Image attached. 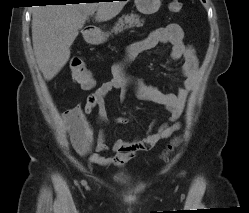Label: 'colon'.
Returning a JSON list of instances; mask_svg holds the SVG:
<instances>
[{
	"label": "colon",
	"instance_id": "5ec220e1",
	"mask_svg": "<svg viewBox=\"0 0 249 213\" xmlns=\"http://www.w3.org/2000/svg\"><path fill=\"white\" fill-rule=\"evenodd\" d=\"M169 8L173 12H180L182 10V3L179 0H170ZM70 72L71 77L77 85L81 86L84 89L91 88L94 85V79L92 78L91 74L87 70L83 60L79 57H73L70 60ZM71 135L77 137V132L75 130L70 131ZM178 141H172L166 152L165 155H169L174 148L177 146Z\"/></svg>",
	"mask_w": 249,
	"mask_h": 213
}]
</instances>
